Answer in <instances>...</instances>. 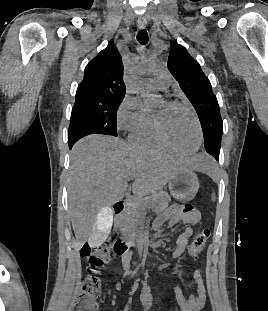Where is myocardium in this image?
Returning <instances> with one entry per match:
<instances>
[{"label":"myocardium","instance_id":"obj_1","mask_svg":"<svg viewBox=\"0 0 268 311\" xmlns=\"http://www.w3.org/2000/svg\"><path fill=\"white\" fill-rule=\"evenodd\" d=\"M167 104L171 107L182 108L191 114V116L193 117L194 122L196 124L197 132H198V141H197V144L194 147V149L191 151H182V150L178 149L172 143H170V141L167 139L166 135L164 134L160 119L158 118V116L156 114H154L155 130H156V134H157L159 140L162 142V144L167 149L172 150V151H174L180 155H183V156L194 155L196 152H198V150L200 149L202 142H203V130H202V126H201V123H200V120H199L197 114L195 113V111L190 106H188L184 103H181L178 101H168Z\"/></svg>","mask_w":268,"mask_h":311}]
</instances>
